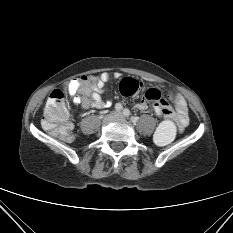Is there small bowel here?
<instances>
[{"label": "small bowel", "instance_id": "c3829d8e", "mask_svg": "<svg viewBox=\"0 0 233 233\" xmlns=\"http://www.w3.org/2000/svg\"><path fill=\"white\" fill-rule=\"evenodd\" d=\"M118 76L119 74L116 73L115 77ZM109 79L110 75L108 73H102L100 76L94 79L90 88L85 86L84 78L73 79L67 85V93L71 100L75 104L80 105L83 109H106L110 107L111 103L103 100L101 93L103 92L105 84ZM171 100L175 105L176 112L171 109L169 104L164 99L153 102L154 111L161 117L163 116V108L168 107L172 111V118L177 123L178 129L182 130L188 123L187 103L184 97L177 92H174L171 95ZM136 107L140 111H145L148 108V105L144 99L140 101Z\"/></svg>", "mask_w": 233, "mask_h": 233}]
</instances>
